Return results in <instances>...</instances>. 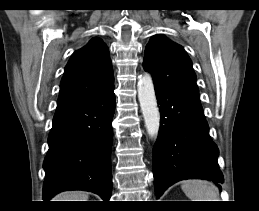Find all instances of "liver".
<instances>
[{
  "label": "liver",
  "instance_id": "1",
  "mask_svg": "<svg viewBox=\"0 0 259 211\" xmlns=\"http://www.w3.org/2000/svg\"><path fill=\"white\" fill-rule=\"evenodd\" d=\"M54 201H87L88 195L84 192L73 191L64 192L57 195Z\"/></svg>",
  "mask_w": 259,
  "mask_h": 211
}]
</instances>
